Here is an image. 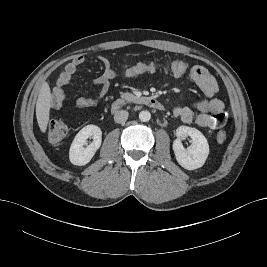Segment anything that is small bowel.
Masks as SVG:
<instances>
[{"instance_id": "1", "label": "small bowel", "mask_w": 267, "mask_h": 267, "mask_svg": "<svg viewBox=\"0 0 267 267\" xmlns=\"http://www.w3.org/2000/svg\"><path fill=\"white\" fill-rule=\"evenodd\" d=\"M83 56L74 57L62 69L57 79L56 87L51 93L50 103L52 108L59 109L66 98V87L70 84L72 77L84 64ZM103 66L101 75L93 80V84L98 88V93L94 97H79L75 101L78 108H89L98 103L107 95L110 82L115 79V72L105 56H99ZM190 77L201 89L205 99L196 103L193 107H178L174 110V115L184 123H194L202 128L218 129L227 121V113L224 110L223 102L216 98L218 84L208 70L195 65L190 70Z\"/></svg>"}]
</instances>
